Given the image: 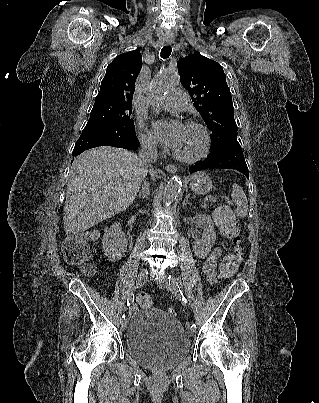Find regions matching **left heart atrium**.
Instances as JSON below:
<instances>
[{"mask_svg":"<svg viewBox=\"0 0 319 403\" xmlns=\"http://www.w3.org/2000/svg\"><path fill=\"white\" fill-rule=\"evenodd\" d=\"M154 129L159 140L171 148H176L182 138L184 126L179 121H161L154 123Z\"/></svg>","mask_w":319,"mask_h":403,"instance_id":"left-heart-atrium-1","label":"left heart atrium"}]
</instances>
